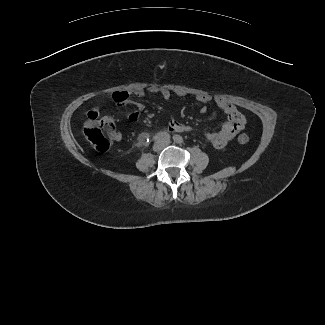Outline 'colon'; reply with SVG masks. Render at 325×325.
<instances>
[{
	"mask_svg": "<svg viewBox=\"0 0 325 325\" xmlns=\"http://www.w3.org/2000/svg\"><path fill=\"white\" fill-rule=\"evenodd\" d=\"M84 135L90 144L98 151H107L115 134V124L110 118H99V116H88L84 125ZM238 142L246 144L249 136L242 133L238 136Z\"/></svg>",
	"mask_w": 325,
	"mask_h": 325,
	"instance_id": "1",
	"label": "colon"
}]
</instances>
